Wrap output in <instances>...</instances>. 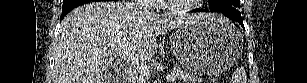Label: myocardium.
<instances>
[{"label": "myocardium", "mask_w": 307, "mask_h": 83, "mask_svg": "<svg viewBox=\"0 0 307 83\" xmlns=\"http://www.w3.org/2000/svg\"><path fill=\"white\" fill-rule=\"evenodd\" d=\"M201 1L193 0V2L186 4H172L169 1H162L160 8L169 14H185L194 9V4L200 3Z\"/></svg>", "instance_id": "1"}]
</instances>
